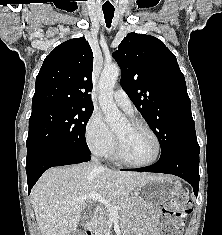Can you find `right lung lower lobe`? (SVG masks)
<instances>
[{"label":"right lung lower lobe","instance_id":"obj_1","mask_svg":"<svg viewBox=\"0 0 222 235\" xmlns=\"http://www.w3.org/2000/svg\"><path fill=\"white\" fill-rule=\"evenodd\" d=\"M90 152L83 153L71 150H56L44 153L26 163L29 193L39 177L50 167L82 163L90 160Z\"/></svg>","mask_w":222,"mask_h":235}]
</instances>
